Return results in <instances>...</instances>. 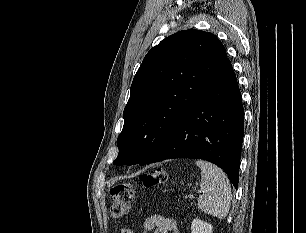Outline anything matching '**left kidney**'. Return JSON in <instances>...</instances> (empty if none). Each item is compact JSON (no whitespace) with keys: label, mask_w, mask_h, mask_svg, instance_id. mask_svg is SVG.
Masks as SVG:
<instances>
[{"label":"left kidney","mask_w":306,"mask_h":233,"mask_svg":"<svg viewBox=\"0 0 306 233\" xmlns=\"http://www.w3.org/2000/svg\"><path fill=\"white\" fill-rule=\"evenodd\" d=\"M213 227L211 224L195 218L191 224V233H212Z\"/></svg>","instance_id":"5707ae66"}]
</instances>
